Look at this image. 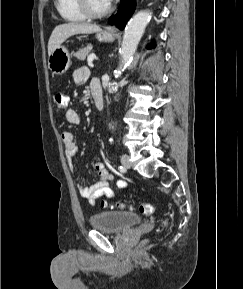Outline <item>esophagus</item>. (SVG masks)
I'll list each match as a JSON object with an SVG mask.
<instances>
[{"mask_svg": "<svg viewBox=\"0 0 243 289\" xmlns=\"http://www.w3.org/2000/svg\"><path fill=\"white\" fill-rule=\"evenodd\" d=\"M106 31L110 33H116L118 32V28L116 26H111V27H108Z\"/></svg>", "mask_w": 243, "mask_h": 289, "instance_id": "34e87169", "label": "esophagus"}]
</instances>
